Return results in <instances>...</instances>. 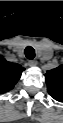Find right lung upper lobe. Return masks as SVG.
<instances>
[{"instance_id":"right-lung-upper-lobe-1","label":"right lung upper lobe","mask_w":63,"mask_h":123,"mask_svg":"<svg viewBox=\"0 0 63 123\" xmlns=\"http://www.w3.org/2000/svg\"><path fill=\"white\" fill-rule=\"evenodd\" d=\"M24 70L21 65L2 58L0 61V93L12 90Z\"/></svg>"}]
</instances>
